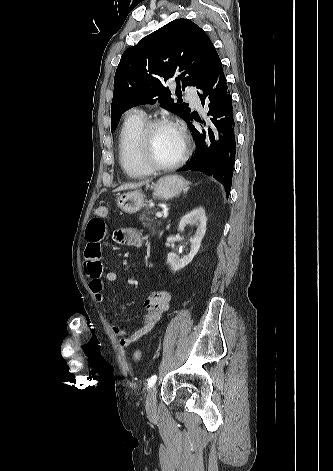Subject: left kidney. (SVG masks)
I'll return each instance as SVG.
<instances>
[{
	"instance_id": "left-kidney-1",
	"label": "left kidney",
	"mask_w": 333,
	"mask_h": 471,
	"mask_svg": "<svg viewBox=\"0 0 333 471\" xmlns=\"http://www.w3.org/2000/svg\"><path fill=\"white\" fill-rule=\"evenodd\" d=\"M189 224L197 226L196 234L190 240L191 246L189 253L184 255L182 258H179L178 255L174 252L168 253L167 256V262L174 272L179 271L188 265L197 254L201 246V241L206 232L207 217L205 215V210L203 208H195L183 216L179 223V231H184L186 226Z\"/></svg>"
}]
</instances>
